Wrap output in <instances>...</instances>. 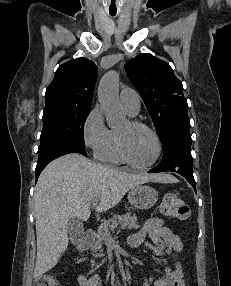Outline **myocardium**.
<instances>
[{
    "instance_id": "obj_1",
    "label": "myocardium",
    "mask_w": 231,
    "mask_h": 286,
    "mask_svg": "<svg viewBox=\"0 0 231 286\" xmlns=\"http://www.w3.org/2000/svg\"><path fill=\"white\" fill-rule=\"evenodd\" d=\"M128 124L130 127H133V128L146 129L147 131H149L152 134V136L154 137L155 142H156V148H157L156 155L147 164L140 165V164L135 163L129 157V155L126 151L125 143H124L122 135L119 134L118 132H116V142H117L118 153H119L121 159L123 160V162L126 163L127 165H129L130 167L137 169V170H147L150 167H152L153 165H155L162 155L163 145H162V141L160 139V136L153 127L149 126L148 124H146L144 122H141V121H138L135 119H130V120H128Z\"/></svg>"
}]
</instances>
